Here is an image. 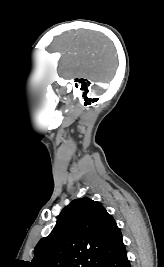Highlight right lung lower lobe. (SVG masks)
Returning a JSON list of instances; mask_svg holds the SVG:
<instances>
[{
  "instance_id": "obj_1",
  "label": "right lung lower lobe",
  "mask_w": 164,
  "mask_h": 267,
  "mask_svg": "<svg viewBox=\"0 0 164 267\" xmlns=\"http://www.w3.org/2000/svg\"><path fill=\"white\" fill-rule=\"evenodd\" d=\"M97 267H130L125 247L107 256Z\"/></svg>"
}]
</instances>
